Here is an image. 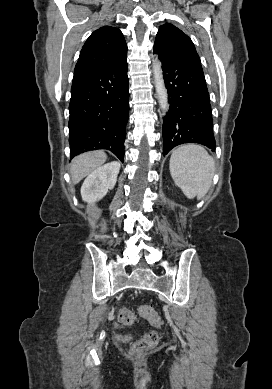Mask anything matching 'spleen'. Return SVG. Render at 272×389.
Listing matches in <instances>:
<instances>
[{
  "mask_svg": "<svg viewBox=\"0 0 272 389\" xmlns=\"http://www.w3.org/2000/svg\"><path fill=\"white\" fill-rule=\"evenodd\" d=\"M170 173L184 195L202 198L210 188L214 174V161L199 145H182L170 157Z\"/></svg>",
  "mask_w": 272,
  "mask_h": 389,
  "instance_id": "spleen-1",
  "label": "spleen"
}]
</instances>
